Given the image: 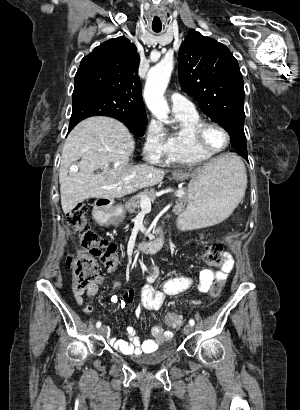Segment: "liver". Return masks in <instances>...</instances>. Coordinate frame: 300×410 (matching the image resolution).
Here are the masks:
<instances>
[{"instance_id":"1","label":"liver","mask_w":300,"mask_h":410,"mask_svg":"<svg viewBox=\"0 0 300 410\" xmlns=\"http://www.w3.org/2000/svg\"><path fill=\"white\" fill-rule=\"evenodd\" d=\"M134 148L128 129L113 118L90 117L77 124L68 135L61 156L59 182L63 212H71L89 198H120L160 183L165 175L163 169L145 164L128 165ZM231 157L220 156L204 167H222ZM79 159V171L69 172L71 164ZM99 168L103 172L94 174Z\"/></svg>"}]
</instances>
